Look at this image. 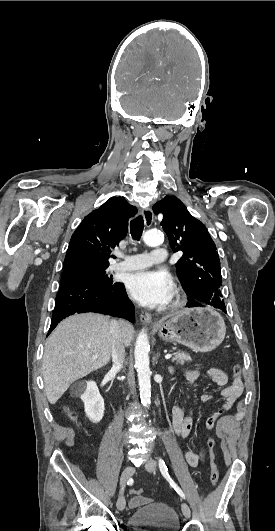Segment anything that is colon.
<instances>
[{"instance_id": "5ec220e1", "label": "colon", "mask_w": 275, "mask_h": 531, "mask_svg": "<svg viewBox=\"0 0 275 531\" xmlns=\"http://www.w3.org/2000/svg\"><path fill=\"white\" fill-rule=\"evenodd\" d=\"M233 372L236 375H239L242 372L241 365L238 363L234 364ZM67 414L71 418L77 417V414L74 411H68ZM207 447L209 450L210 480H211L212 485H216L219 480V472H218L217 456L215 452V441L212 437L208 439ZM142 492H144V489L141 486H138L136 489H131L130 494L132 496H140Z\"/></svg>"}]
</instances>
